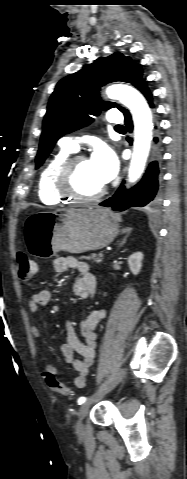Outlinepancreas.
Segmentation results:
<instances>
[{"label":"pancreas","instance_id":"obj_1","mask_svg":"<svg viewBox=\"0 0 187 479\" xmlns=\"http://www.w3.org/2000/svg\"><path fill=\"white\" fill-rule=\"evenodd\" d=\"M79 259H88V258L85 256H80ZM93 260L95 263H100L102 261V257H95L93 258Z\"/></svg>","mask_w":187,"mask_h":479}]
</instances>
